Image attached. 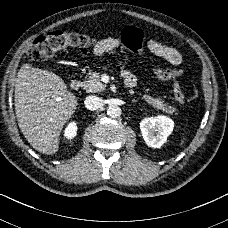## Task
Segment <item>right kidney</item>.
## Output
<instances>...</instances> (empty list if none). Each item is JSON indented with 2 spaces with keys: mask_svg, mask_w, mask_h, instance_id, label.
Masks as SVG:
<instances>
[{
  "mask_svg": "<svg viewBox=\"0 0 228 228\" xmlns=\"http://www.w3.org/2000/svg\"><path fill=\"white\" fill-rule=\"evenodd\" d=\"M77 134V125L74 121L70 122L64 130V137L68 140L73 139Z\"/></svg>",
  "mask_w": 228,
  "mask_h": 228,
  "instance_id": "right-kidney-1",
  "label": "right kidney"
}]
</instances>
